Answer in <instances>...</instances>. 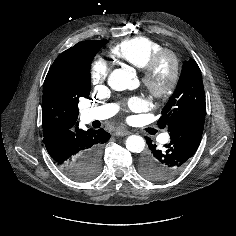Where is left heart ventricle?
Listing matches in <instances>:
<instances>
[{
	"label": "left heart ventricle",
	"instance_id": "obj_1",
	"mask_svg": "<svg viewBox=\"0 0 236 236\" xmlns=\"http://www.w3.org/2000/svg\"><path fill=\"white\" fill-rule=\"evenodd\" d=\"M170 70H171L170 62L168 60H165L158 69V72L156 74L157 80L160 83L165 84L169 79Z\"/></svg>",
	"mask_w": 236,
	"mask_h": 236
}]
</instances>
